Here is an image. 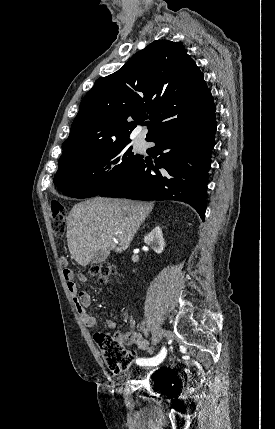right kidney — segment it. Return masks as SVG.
Here are the masks:
<instances>
[{
  "label": "right kidney",
  "mask_w": 275,
  "mask_h": 429,
  "mask_svg": "<svg viewBox=\"0 0 275 429\" xmlns=\"http://www.w3.org/2000/svg\"><path fill=\"white\" fill-rule=\"evenodd\" d=\"M144 242L157 254H161L165 247L161 228L159 226L155 227L147 236L144 237Z\"/></svg>",
  "instance_id": "1"
}]
</instances>
